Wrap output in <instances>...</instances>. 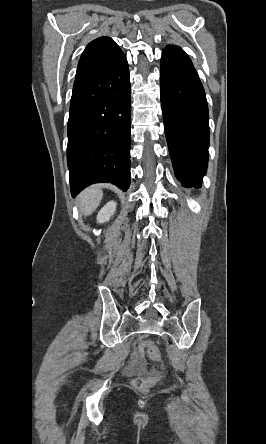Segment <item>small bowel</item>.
Masks as SVG:
<instances>
[{"mask_svg": "<svg viewBox=\"0 0 266 444\" xmlns=\"http://www.w3.org/2000/svg\"><path fill=\"white\" fill-rule=\"evenodd\" d=\"M145 372L143 359L140 353L136 352L132 355L130 362L127 366L126 373L128 375H137Z\"/></svg>", "mask_w": 266, "mask_h": 444, "instance_id": "small-bowel-1", "label": "small bowel"}]
</instances>
